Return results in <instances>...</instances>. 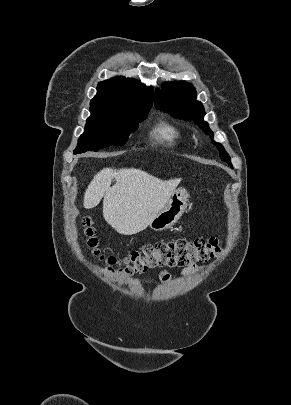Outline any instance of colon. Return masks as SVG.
Instances as JSON below:
<instances>
[{"label":"colon","mask_w":291,"mask_h":405,"mask_svg":"<svg viewBox=\"0 0 291 405\" xmlns=\"http://www.w3.org/2000/svg\"><path fill=\"white\" fill-rule=\"evenodd\" d=\"M87 245L109 270L124 274L143 273L157 267H188L204 263L220 253L216 237L198 239H176L147 244L139 250L132 251L124 258L106 256L98 248V238L93 223L84 220Z\"/></svg>","instance_id":"1"}]
</instances>
